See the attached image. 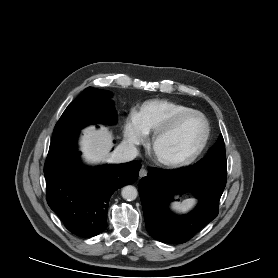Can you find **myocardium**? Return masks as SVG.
Segmentation results:
<instances>
[{
    "mask_svg": "<svg viewBox=\"0 0 278 278\" xmlns=\"http://www.w3.org/2000/svg\"><path fill=\"white\" fill-rule=\"evenodd\" d=\"M193 115L201 117L205 124V133L197 148L192 153L182 157L171 158L162 155L158 150L159 143L162 140H164L166 137H168L171 133H173L185 118ZM210 134H211V126L206 115L198 110L192 109L178 114L172 120H170L166 125H164L163 127L159 128L154 132L150 142V153L154 158V160L162 166L169 167V168L186 166L194 162L201 155V153L204 151V149L208 144Z\"/></svg>",
    "mask_w": 278,
    "mask_h": 278,
    "instance_id": "1",
    "label": "myocardium"
}]
</instances>
